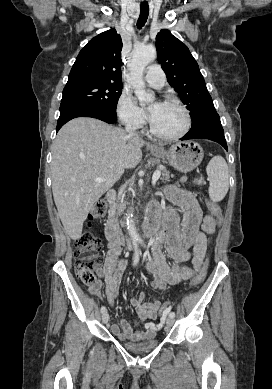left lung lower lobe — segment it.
Returning a JSON list of instances; mask_svg holds the SVG:
<instances>
[{
    "label": "left lung lower lobe",
    "mask_w": 272,
    "mask_h": 389,
    "mask_svg": "<svg viewBox=\"0 0 272 389\" xmlns=\"http://www.w3.org/2000/svg\"><path fill=\"white\" fill-rule=\"evenodd\" d=\"M209 139L221 144L226 150L227 144L219 115L213 110L200 121L192 124L190 131L181 140Z\"/></svg>",
    "instance_id": "0a47b994"
}]
</instances>
